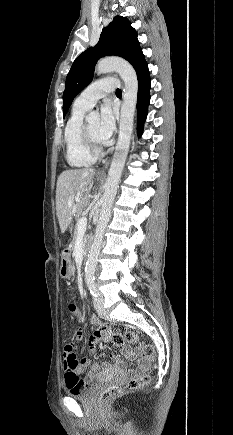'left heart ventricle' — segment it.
Instances as JSON below:
<instances>
[{
	"label": "left heart ventricle",
	"instance_id": "b2bd125f",
	"mask_svg": "<svg viewBox=\"0 0 233 435\" xmlns=\"http://www.w3.org/2000/svg\"><path fill=\"white\" fill-rule=\"evenodd\" d=\"M87 123H88V127H89V130H90V133H91L93 140L97 144H101L99 141V137H98L99 120L98 119H91V120L87 121Z\"/></svg>",
	"mask_w": 233,
	"mask_h": 435
}]
</instances>
